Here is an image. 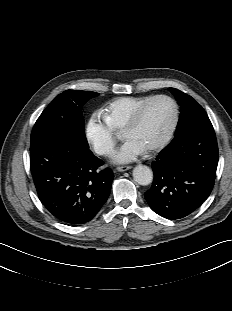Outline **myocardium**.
<instances>
[{
  "label": "myocardium",
  "mask_w": 232,
  "mask_h": 311,
  "mask_svg": "<svg viewBox=\"0 0 232 311\" xmlns=\"http://www.w3.org/2000/svg\"><path fill=\"white\" fill-rule=\"evenodd\" d=\"M161 99L167 100L171 103L173 107V117L165 135L156 144L146 149V151L149 153L162 149L169 142L175 132L179 120V108L176 101L172 97L163 94L152 96L137 108V110L134 112L133 116L123 129V135L125 136L140 123L146 109L150 106V104Z\"/></svg>",
  "instance_id": "1"
}]
</instances>
